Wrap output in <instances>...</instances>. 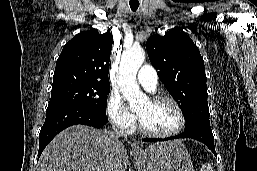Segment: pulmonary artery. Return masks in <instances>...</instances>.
<instances>
[{"label": "pulmonary artery", "instance_id": "pulmonary-artery-1", "mask_svg": "<svg viewBox=\"0 0 257 171\" xmlns=\"http://www.w3.org/2000/svg\"><path fill=\"white\" fill-rule=\"evenodd\" d=\"M137 80L147 90L154 91L158 83L155 68L150 65H143L137 74Z\"/></svg>", "mask_w": 257, "mask_h": 171}]
</instances>
